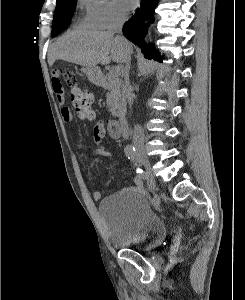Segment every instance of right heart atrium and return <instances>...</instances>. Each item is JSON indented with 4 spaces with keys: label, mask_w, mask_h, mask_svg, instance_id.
Wrapping results in <instances>:
<instances>
[{
    "label": "right heart atrium",
    "mask_w": 245,
    "mask_h": 300,
    "mask_svg": "<svg viewBox=\"0 0 245 300\" xmlns=\"http://www.w3.org/2000/svg\"><path fill=\"white\" fill-rule=\"evenodd\" d=\"M85 22L98 29H109L123 22L126 11L121 0H80Z\"/></svg>",
    "instance_id": "right-heart-atrium-1"
}]
</instances>
